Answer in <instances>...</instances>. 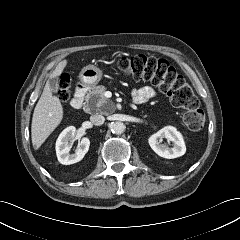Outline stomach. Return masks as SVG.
<instances>
[{
    "label": "stomach",
    "instance_id": "0dacf381",
    "mask_svg": "<svg viewBox=\"0 0 240 240\" xmlns=\"http://www.w3.org/2000/svg\"><path fill=\"white\" fill-rule=\"evenodd\" d=\"M102 70L94 65L84 67L80 72V81L85 87H94L102 78Z\"/></svg>",
    "mask_w": 240,
    "mask_h": 240
}]
</instances>
